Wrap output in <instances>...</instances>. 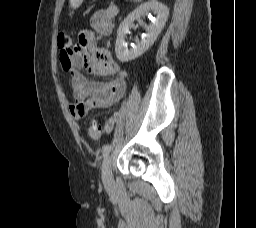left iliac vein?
<instances>
[{
	"instance_id": "left-iliac-vein-1",
	"label": "left iliac vein",
	"mask_w": 256,
	"mask_h": 228,
	"mask_svg": "<svg viewBox=\"0 0 256 228\" xmlns=\"http://www.w3.org/2000/svg\"><path fill=\"white\" fill-rule=\"evenodd\" d=\"M102 181H103V184L107 187H109L113 184V174H112L111 157L110 156H106L103 161Z\"/></svg>"
}]
</instances>
